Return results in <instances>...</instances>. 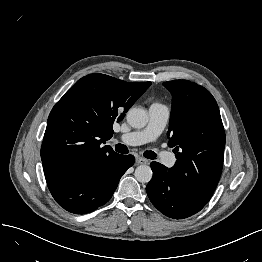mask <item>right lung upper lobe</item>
Wrapping results in <instances>:
<instances>
[{"label":"right lung upper lobe","mask_w":262,"mask_h":262,"mask_svg":"<svg viewBox=\"0 0 262 262\" xmlns=\"http://www.w3.org/2000/svg\"><path fill=\"white\" fill-rule=\"evenodd\" d=\"M151 82L129 83L104 74L78 80L55 104L41 147L45 174L96 168L117 155L102 146Z\"/></svg>","instance_id":"obj_1"}]
</instances>
